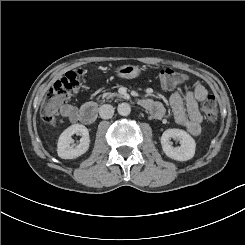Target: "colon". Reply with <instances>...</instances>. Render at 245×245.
<instances>
[{"mask_svg": "<svg viewBox=\"0 0 245 245\" xmlns=\"http://www.w3.org/2000/svg\"><path fill=\"white\" fill-rule=\"evenodd\" d=\"M85 75L83 69L69 71L51 86L46 92L40 108V115L44 122L51 125L57 124L61 106L78 91L85 80ZM158 78L161 86L166 90L176 88L184 80L181 73L171 68L160 69ZM201 110L208 120L214 121L218 115L215 98L209 96L204 99Z\"/></svg>", "mask_w": 245, "mask_h": 245, "instance_id": "colon-1", "label": "colon"}]
</instances>
